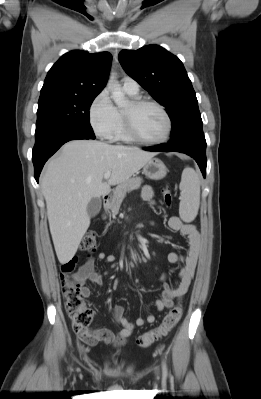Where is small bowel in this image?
I'll use <instances>...</instances> for the list:
<instances>
[{
    "label": "small bowel",
    "mask_w": 261,
    "mask_h": 399,
    "mask_svg": "<svg viewBox=\"0 0 261 399\" xmlns=\"http://www.w3.org/2000/svg\"><path fill=\"white\" fill-rule=\"evenodd\" d=\"M140 196L144 202H152L154 191L150 186H144L141 189ZM168 226L171 230L179 232L186 237L188 252L186 255H181L177 252L169 253L168 261L173 264L182 262L183 267L180 271V280L177 287L173 288L169 284L164 283L161 296L155 302L158 311L171 308L175 300L182 298L187 293L194 277L201 249L200 235L193 224L185 223L178 216L174 215L169 217ZM96 260L115 263L117 257L114 255H108L105 252H99L96 256ZM94 266V259H89L75 272L73 276L74 280L80 287L83 297H89L91 294L90 288L86 285L88 282L97 285L102 284V276L95 272ZM113 315L115 320L122 326L120 331H113L109 328L102 327L92 331L89 330L88 339L79 338L89 346H95L98 343L103 342L105 344L119 347L126 343L135 327H141L155 321L154 315L150 314L146 317L138 318L136 322H131L127 319L125 309L122 305H116L114 307Z\"/></svg>",
    "instance_id": "small-bowel-1"
}]
</instances>
